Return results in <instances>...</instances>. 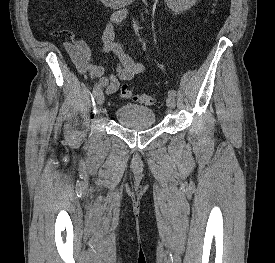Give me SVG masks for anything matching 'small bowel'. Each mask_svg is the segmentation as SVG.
I'll return each mask as SVG.
<instances>
[{"mask_svg":"<svg viewBox=\"0 0 275 263\" xmlns=\"http://www.w3.org/2000/svg\"><path fill=\"white\" fill-rule=\"evenodd\" d=\"M127 17V11L112 15L101 37L103 52L116 61L115 74H105L104 67L92 62L91 49L85 41L71 38L63 43V48L77 71L84 77L96 79L98 87L104 88L107 95L114 94L122 81L129 82L147 69L145 64L127 56L115 39V27Z\"/></svg>","mask_w":275,"mask_h":263,"instance_id":"c3829d8e","label":"small bowel"}]
</instances>
